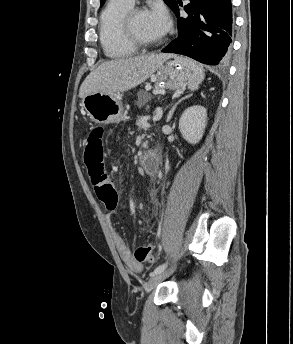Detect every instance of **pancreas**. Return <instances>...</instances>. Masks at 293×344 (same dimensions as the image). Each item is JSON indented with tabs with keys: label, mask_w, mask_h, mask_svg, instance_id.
<instances>
[{
	"label": "pancreas",
	"mask_w": 293,
	"mask_h": 344,
	"mask_svg": "<svg viewBox=\"0 0 293 344\" xmlns=\"http://www.w3.org/2000/svg\"><path fill=\"white\" fill-rule=\"evenodd\" d=\"M157 89H158V88H155L154 91H157ZM150 98H151V95H150V94H147V95H146V99H145L144 101H147V100H149ZM136 124H137L139 127H142L141 118H139V119L137 120Z\"/></svg>",
	"instance_id": "pancreas-1"
}]
</instances>
